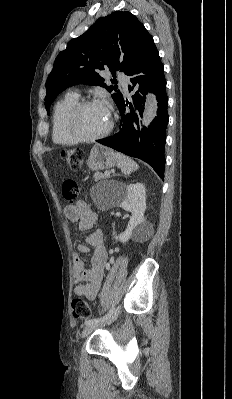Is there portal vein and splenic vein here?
Returning <instances> with one entry per match:
<instances>
[{"label":"portal vein and splenic vein","mask_w":232,"mask_h":399,"mask_svg":"<svg viewBox=\"0 0 232 399\" xmlns=\"http://www.w3.org/2000/svg\"><path fill=\"white\" fill-rule=\"evenodd\" d=\"M105 176H110V172H105Z\"/></svg>","instance_id":"obj_1"}]
</instances>
